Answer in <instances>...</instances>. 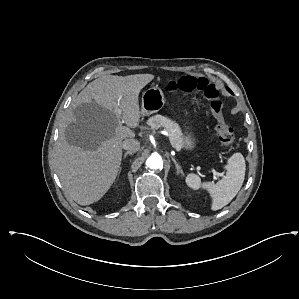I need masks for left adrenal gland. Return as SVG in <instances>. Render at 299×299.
<instances>
[{"mask_svg": "<svg viewBox=\"0 0 299 299\" xmlns=\"http://www.w3.org/2000/svg\"><path fill=\"white\" fill-rule=\"evenodd\" d=\"M172 161L175 164L176 170H177V174H182L183 175V170L181 169V166L177 163V161L175 160V158L172 157Z\"/></svg>", "mask_w": 299, "mask_h": 299, "instance_id": "left-adrenal-gland-1", "label": "left adrenal gland"}]
</instances>
